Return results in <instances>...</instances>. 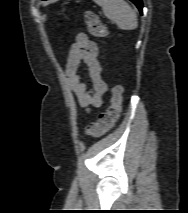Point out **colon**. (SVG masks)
<instances>
[{
	"label": "colon",
	"instance_id": "5ec220e1",
	"mask_svg": "<svg viewBox=\"0 0 188 213\" xmlns=\"http://www.w3.org/2000/svg\"><path fill=\"white\" fill-rule=\"evenodd\" d=\"M84 22L91 35L95 37H105L106 28L100 21L98 15L92 11L84 12ZM123 106V89L119 85H114L111 89V100L108 109L99 114L97 120L85 128V132L91 136H101L112 129L119 119Z\"/></svg>",
	"mask_w": 188,
	"mask_h": 213
}]
</instances>
